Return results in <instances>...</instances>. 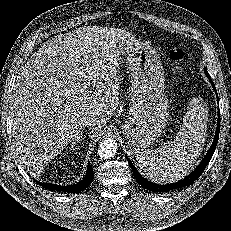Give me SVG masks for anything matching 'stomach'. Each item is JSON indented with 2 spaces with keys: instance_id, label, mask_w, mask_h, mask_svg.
I'll use <instances>...</instances> for the list:
<instances>
[{
  "instance_id": "1",
  "label": "stomach",
  "mask_w": 231,
  "mask_h": 231,
  "mask_svg": "<svg viewBox=\"0 0 231 231\" xmlns=\"http://www.w3.org/2000/svg\"><path fill=\"white\" fill-rule=\"evenodd\" d=\"M121 49L131 78V107L122 131L130 150L138 153L153 145L167 124L165 75L159 54L149 44L130 38Z\"/></svg>"
}]
</instances>
